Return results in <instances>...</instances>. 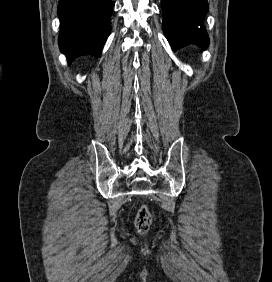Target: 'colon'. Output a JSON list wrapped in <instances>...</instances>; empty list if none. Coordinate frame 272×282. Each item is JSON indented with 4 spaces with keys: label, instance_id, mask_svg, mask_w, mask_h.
I'll use <instances>...</instances> for the list:
<instances>
[{
    "label": "colon",
    "instance_id": "5ec220e1",
    "mask_svg": "<svg viewBox=\"0 0 272 282\" xmlns=\"http://www.w3.org/2000/svg\"><path fill=\"white\" fill-rule=\"evenodd\" d=\"M134 224L139 233H145L150 228L152 224V214L146 205L141 204L138 206Z\"/></svg>",
    "mask_w": 272,
    "mask_h": 282
}]
</instances>
